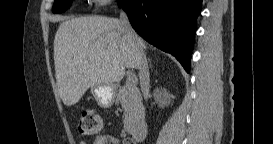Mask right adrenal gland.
Returning <instances> with one entry per match:
<instances>
[{
    "mask_svg": "<svg viewBox=\"0 0 273 144\" xmlns=\"http://www.w3.org/2000/svg\"><path fill=\"white\" fill-rule=\"evenodd\" d=\"M148 62H149V65H150V67H151V63H150V60L148 59Z\"/></svg>",
    "mask_w": 273,
    "mask_h": 144,
    "instance_id": "obj_1",
    "label": "right adrenal gland"
}]
</instances>
